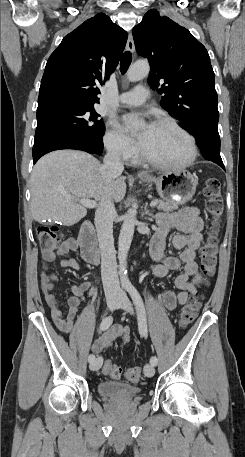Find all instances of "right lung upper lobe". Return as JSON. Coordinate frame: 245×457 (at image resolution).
<instances>
[{"label": "right lung upper lobe", "instance_id": "right-lung-upper-lobe-1", "mask_svg": "<svg viewBox=\"0 0 245 457\" xmlns=\"http://www.w3.org/2000/svg\"><path fill=\"white\" fill-rule=\"evenodd\" d=\"M128 34L104 13L68 34L49 57L37 112L64 102L99 103L98 88L118 65Z\"/></svg>", "mask_w": 245, "mask_h": 457}]
</instances>
